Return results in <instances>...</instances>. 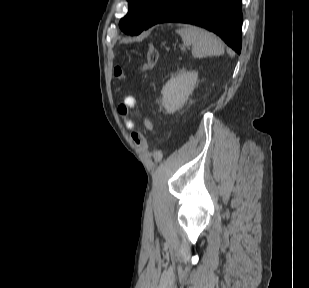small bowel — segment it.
Listing matches in <instances>:
<instances>
[{"instance_id":"small-bowel-1","label":"small bowel","mask_w":309,"mask_h":288,"mask_svg":"<svg viewBox=\"0 0 309 288\" xmlns=\"http://www.w3.org/2000/svg\"><path fill=\"white\" fill-rule=\"evenodd\" d=\"M136 105V100L134 97L128 96L125 98L124 100V106L127 108H134ZM125 122H126V126L128 128V130L130 131H134L136 128V125L133 121H131L130 119L125 118ZM145 125L147 128L151 129L152 128V124L149 121L145 122Z\"/></svg>"}]
</instances>
